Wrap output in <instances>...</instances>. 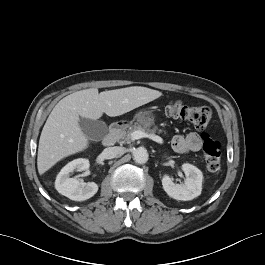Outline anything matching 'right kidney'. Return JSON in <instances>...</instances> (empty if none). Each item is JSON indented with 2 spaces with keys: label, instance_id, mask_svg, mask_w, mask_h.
<instances>
[{
  "label": "right kidney",
  "instance_id": "1",
  "mask_svg": "<svg viewBox=\"0 0 265 265\" xmlns=\"http://www.w3.org/2000/svg\"><path fill=\"white\" fill-rule=\"evenodd\" d=\"M88 159H75L65 165L55 180L56 190L74 201H84L93 197L98 191V185L94 182H80L76 178H70L73 171H83L89 168Z\"/></svg>",
  "mask_w": 265,
  "mask_h": 265
}]
</instances>
